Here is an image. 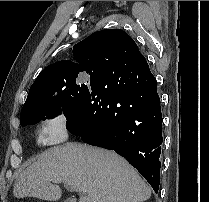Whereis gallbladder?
Segmentation results:
<instances>
[{"mask_svg":"<svg viewBox=\"0 0 209 202\" xmlns=\"http://www.w3.org/2000/svg\"><path fill=\"white\" fill-rule=\"evenodd\" d=\"M66 202H76L74 199L69 198Z\"/></svg>","mask_w":209,"mask_h":202,"instance_id":"obj_1","label":"gallbladder"}]
</instances>
